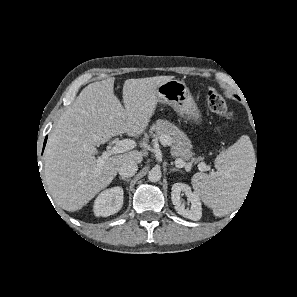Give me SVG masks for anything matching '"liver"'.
Here are the masks:
<instances>
[{"mask_svg": "<svg viewBox=\"0 0 297 297\" xmlns=\"http://www.w3.org/2000/svg\"><path fill=\"white\" fill-rule=\"evenodd\" d=\"M169 80L171 76L127 79L125 108L114 94V77L81 91L57 121L44 155L47 189L58 206L69 212L81 209L113 181L125 161L142 162L143 153L132 150L98 165L96 146L124 133L139 137L154 114L156 88Z\"/></svg>", "mask_w": 297, "mask_h": 297, "instance_id": "6515ba94", "label": "liver"}]
</instances>
